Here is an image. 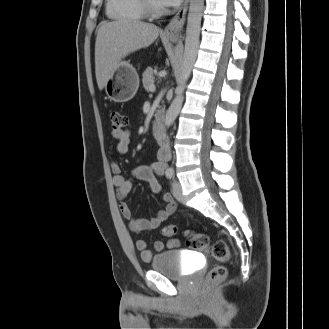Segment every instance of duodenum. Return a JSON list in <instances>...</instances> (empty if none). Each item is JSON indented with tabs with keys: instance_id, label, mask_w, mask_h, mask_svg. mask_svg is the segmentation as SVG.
<instances>
[{
	"instance_id": "1",
	"label": "duodenum",
	"mask_w": 329,
	"mask_h": 329,
	"mask_svg": "<svg viewBox=\"0 0 329 329\" xmlns=\"http://www.w3.org/2000/svg\"><path fill=\"white\" fill-rule=\"evenodd\" d=\"M163 119L164 113L162 110H160L155 114V117L151 124L153 135L159 140H163L165 138Z\"/></svg>"
}]
</instances>
